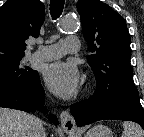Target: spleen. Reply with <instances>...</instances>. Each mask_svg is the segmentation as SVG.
I'll use <instances>...</instances> for the list:
<instances>
[{
  "label": "spleen",
  "mask_w": 144,
  "mask_h": 137,
  "mask_svg": "<svg viewBox=\"0 0 144 137\" xmlns=\"http://www.w3.org/2000/svg\"><path fill=\"white\" fill-rule=\"evenodd\" d=\"M123 128L122 137H144V131L134 122H123Z\"/></svg>",
  "instance_id": "1"
}]
</instances>
